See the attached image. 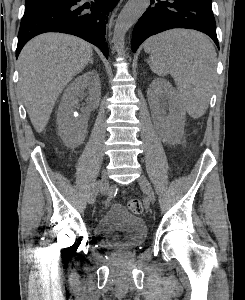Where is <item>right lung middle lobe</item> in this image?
I'll return each instance as SVG.
<instances>
[{
  "instance_id": "obj_1",
  "label": "right lung middle lobe",
  "mask_w": 245,
  "mask_h": 300,
  "mask_svg": "<svg viewBox=\"0 0 245 300\" xmlns=\"http://www.w3.org/2000/svg\"><path fill=\"white\" fill-rule=\"evenodd\" d=\"M55 0H35V1H27L25 3V10H29L47 3H50Z\"/></svg>"
}]
</instances>
